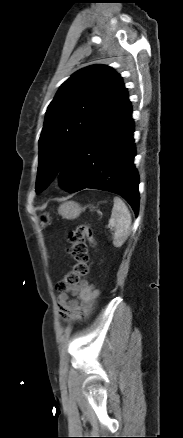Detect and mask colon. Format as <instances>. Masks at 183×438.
Wrapping results in <instances>:
<instances>
[{"label":"colon","mask_w":183,"mask_h":438,"mask_svg":"<svg viewBox=\"0 0 183 438\" xmlns=\"http://www.w3.org/2000/svg\"><path fill=\"white\" fill-rule=\"evenodd\" d=\"M87 240L95 246V238L89 224H81L69 233V253L73 259L70 271L57 284L61 292L79 284L89 271V254Z\"/></svg>","instance_id":"1"}]
</instances>
